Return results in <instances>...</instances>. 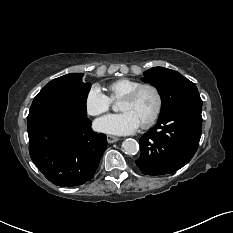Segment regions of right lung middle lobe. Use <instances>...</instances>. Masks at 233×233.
<instances>
[{
	"mask_svg": "<svg viewBox=\"0 0 233 233\" xmlns=\"http://www.w3.org/2000/svg\"><path fill=\"white\" fill-rule=\"evenodd\" d=\"M82 73H71L46 84L34 98L30 110L46 104H64L87 113L86 100L90 83L82 82Z\"/></svg>",
	"mask_w": 233,
	"mask_h": 233,
	"instance_id": "1",
	"label": "right lung middle lobe"
}]
</instances>
